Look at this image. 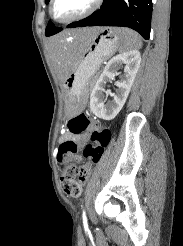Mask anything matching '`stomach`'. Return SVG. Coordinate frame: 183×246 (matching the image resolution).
I'll return each instance as SVG.
<instances>
[{"instance_id":"stomach-1","label":"stomach","mask_w":183,"mask_h":246,"mask_svg":"<svg viewBox=\"0 0 183 246\" xmlns=\"http://www.w3.org/2000/svg\"><path fill=\"white\" fill-rule=\"evenodd\" d=\"M121 33L120 28H100L91 40L64 42L66 48L75 54L73 70L64 81L68 115L73 116L83 108L88 82L101 62L111 56L122 44L124 38Z\"/></svg>"}]
</instances>
